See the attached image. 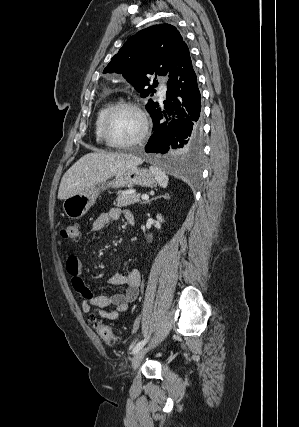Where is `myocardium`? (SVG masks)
Masks as SVG:
<instances>
[{"label": "myocardium", "instance_id": "obj_1", "mask_svg": "<svg viewBox=\"0 0 299 427\" xmlns=\"http://www.w3.org/2000/svg\"><path fill=\"white\" fill-rule=\"evenodd\" d=\"M121 109H131L134 112H136L142 122V129L140 131V133L138 134L137 137H135L133 140L131 141H127V142H116L112 139L110 133H109V125H110V121L112 119V117L114 116V114L121 110ZM149 119L148 116L146 114V112L142 109V107L133 101H121L118 102L116 104H114L109 111L106 113L103 122H102V126H101V133H102V137L104 142L113 148H117V149H126V148H130L133 147L139 143H141L148 135L149 133Z\"/></svg>", "mask_w": 299, "mask_h": 427}]
</instances>
